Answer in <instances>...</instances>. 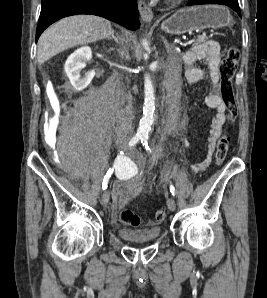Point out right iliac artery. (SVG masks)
I'll return each mask as SVG.
<instances>
[{"label":"right iliac artery","mask_w":267,"mask_h":298,"mask_svg":"<svg viewBox=\"0 0 267 298\" xmlns=\"http://www.w3.org/2000/svg\"><path fill=\"white\" fill-rule=\"evenodd\" d=\"M141 138L142 137L139 135L134 136L129 142V147L132 148L133 146H135L141 140ZM127 160L128 158L124 155V153L120 152V155H118L117 158L115 159V167H122L124 164H126ZM113 171H114V168H111L107 171V174L105 175L102 183L103 190L107 189L108 181Z\"/></svg>","instance_id":"right-iliac-artery-1"}]
</instances>
